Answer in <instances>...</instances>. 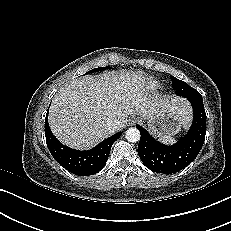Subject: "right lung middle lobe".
Returning <instances> with one entry per match:
<instances>
[{"instance_id":"obj_1","label":"right lung middle lobe","mask_w":231,"mask_h":231,"mask_svg":"<svg viewBox=\"0 0 231 231\" xmlns=\"http://www.w3.org/2000/svg\"><path fill=\"white\" fill-rule=\"evenodd\" d=\"M109 67H100V68H95L89 71V73H93V72H97V71H101V70H105L108 69ZM87 74V73H86Z\"/></svg>"}]
</instances>
